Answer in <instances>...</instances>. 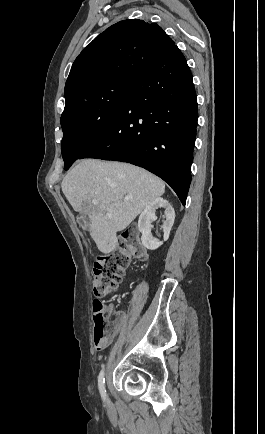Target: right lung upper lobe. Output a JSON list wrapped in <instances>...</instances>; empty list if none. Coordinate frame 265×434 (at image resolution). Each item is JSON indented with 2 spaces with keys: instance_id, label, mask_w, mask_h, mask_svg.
Listing matches in <instances>:
<instances>
[{
  "instance_id": "1",
  "label": "right lung upper lobe",
  "mask_w": 265,
  "mask_h": 434,
  "mask_svg": "<svg viewBox=\"0 0 265 434\" xmlns=\"http://www.w3.org/2000/svg\"><path fill=\"white\" fill-rule=\"evenodd\" d=\"M174 45L156 23L139 19L120 21L98 35L76 58L65 92L107 76L136 77Z\"/></svg>"
}]
</instances>
